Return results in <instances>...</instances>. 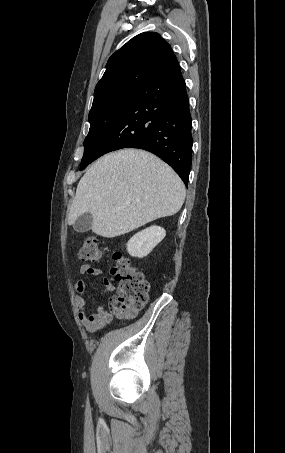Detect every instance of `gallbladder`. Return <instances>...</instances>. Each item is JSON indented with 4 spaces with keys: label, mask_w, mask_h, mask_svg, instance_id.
<instances>
[{
    "label": "gallbladder",
    "mask_w": 285,
    "mask_h": 453,
    "mask_svg": "<svg viewBox=\"0 0 285 453\" xmlns=\"http://www.w3.org/2000/svg\"><path fill=\"white\" fill-rule=\"evenodd\" d=\"M92 222V215L89 212L84 213L76 219L73 228L76 232L85 233L91 229Z\"/></svg>",
    "instance_id": "obj_1"
}]
</instances>
